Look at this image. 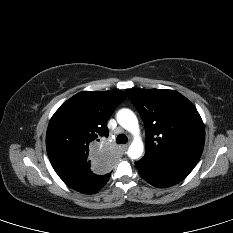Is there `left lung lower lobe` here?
Segmentation results:
<instances>
[{
    "mask_svg": "<svg viewBox=\"0 0 233 233\" xmlns=\"http://www.w3.org/2000/svg\"><path fill=\"white\" fill-rule=\"evenodd\" d=\"M196 161L182 158H153L144 155L135 162L141 176L157 188H166L182 181L193 170Z\"/></svg>",
    "mask_w": 233,
    "mask_h": 233,
    "instance_id": "obj_1",
    "label": "left lung lower lobe"
}]
</instances>
